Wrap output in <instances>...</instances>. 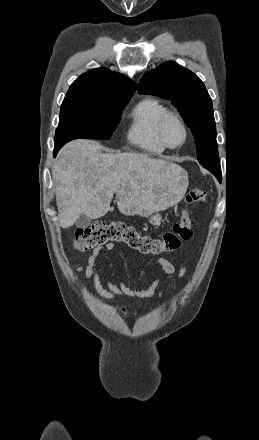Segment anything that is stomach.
Here are the masks:
<instances>
[{"mask_svg": "<svg viewBox=\"0 0 259 440\" xmlns=\"http://www.w3.org/2000/svg\"><path fill=\"white\" fill-rule=\"evenodd\" d=\"M187 185H188V180H187L186 175H184V177L182 179V186L186 188ZM148 220H149V223L155 227L160 226L161 222L163 221L161 214L158 212H156L154 214H150Z\"/></svg>", "mask_w": 259, "mask_h": 440, "instance_id": "stomach-1", "label": "stomach"}]
</instances>
